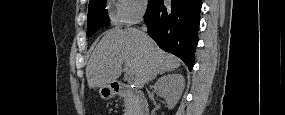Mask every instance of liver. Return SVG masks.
<instances>
[{"label": "liver", "mask_w": 285, "mask_h": 115, "mask_svg": "<svg viewBox=\"0 0 285 115\" xmlns=\"http://www.w3.org/2000/svg\"><path fill=\"white\" fill-rule=\"evenodd\" d=\"M125 66L141 89L150 79L180 66V60L162 51L150 37L134 28H112L105 32L86 67L89 88L115 82Z\"/></svg>", "instance_id": "obj_1"}]
</instances>
